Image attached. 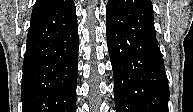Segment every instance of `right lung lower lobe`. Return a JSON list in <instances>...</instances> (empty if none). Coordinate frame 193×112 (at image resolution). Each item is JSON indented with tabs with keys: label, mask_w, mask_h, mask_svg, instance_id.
Here are the masks:
<instances>
[{
	"label": "right lung lower lobe",
	"mask_w": 193,
	"mask_h": 112,
	"mask_svg": "<svg viewBox=\"0 0 193 112\" xmlns=\"http://www.w3.org/2000/svg\"><path fill=\"white\" fill-rule=\"evenodd\" d=\"M23 63V112H75L78 26L73 0L32 12Z\"/></svg>",
	"instance_id": "right-lung-lower-lobe-1"
}]
</instances>
